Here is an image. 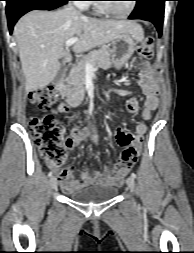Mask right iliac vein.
<instances>
[{
  "label": "right iliac vein",
  "instance_id": "obj_1",
  "mask_svg": "<svg viewBox=\"0 0 194 253\" xmlns=\"http://www.w3.org/2000/svg\"><path fill=\"white\" fill-rule=\"evenodd\" d=\"M50 185H51V187H52L53 189H55V188L57 187V179H56V177L52 176V177L50 178Z\"/></svg>",
  "mask_w": 194,
  "mask_h": 253
}]
</instances>
